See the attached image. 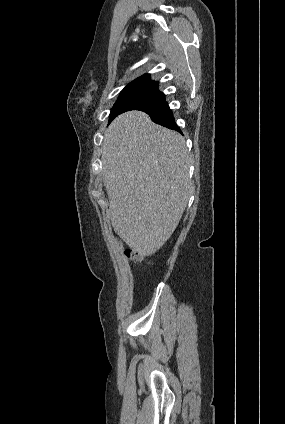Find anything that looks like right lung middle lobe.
I'll list each match as a JSON object with an SVG mask.
<instances>
[{"label": "right lung middle lobe", "instance_id": "dd1d6c3e", "mask_svg": "<svg viewBox=\"0 0 285 424\" xmlns=\"http://www.w3.org/2000/svg\"><path fill=\"white\" fill-rule=\"evenodd\" d=\"M158 92V84H136L126 86L111 109L109 121L121 114L132 102Z\"/></svg>", "mask_w": 285, "mask_h": 424}]
</instances>
